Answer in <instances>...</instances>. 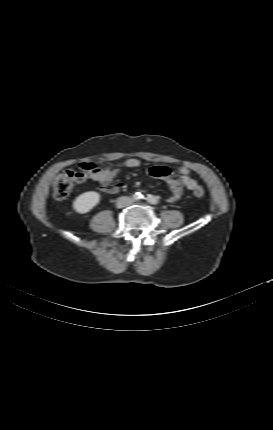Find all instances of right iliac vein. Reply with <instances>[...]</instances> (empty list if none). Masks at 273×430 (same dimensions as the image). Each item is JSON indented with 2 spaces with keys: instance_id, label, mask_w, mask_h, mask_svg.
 <instances>
[{
  "instance_id": "right-iliac-vein-1",
  "label": "right iliac vein",
  "mask_w": 273,
  "mask_h": 430,
  "mask_svg": "<svg viewBox=\"0 0 273 430\" xmlns=\"http://www.w3.org/2000/svg\"><path fill=\"white\" fill-rule=\"evenodd\" d=\"M122 206H123V201H122V200L118 201V203H117V207H118V208H121Z\"/></svg>"
}]
</instances>
